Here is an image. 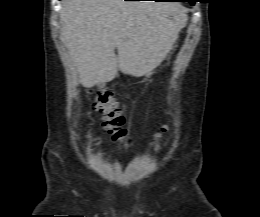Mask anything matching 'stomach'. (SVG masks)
I'll list each match as a JSON object with an SVG mask.
<instances>
[{
    "label": "stomach",
    "mask_w": 260,
    "mask_h": 217,
    "mask_svg": "<svg viewBox=\"0 0 260 217\" xmlns=\"http://www.w3.org/2000/svg\"><path fill=\"white\" fill-rule=\"evenodd\" d=\"M152 74H153V70L150 71V72H148L147 74H145V76H146V77H149V76H151Z\"/></svg>",
    "instance_id": "obj_1"
}]
</instances>
